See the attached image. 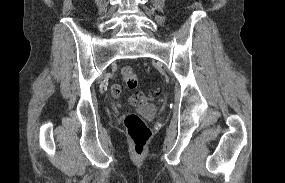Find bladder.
<instances>
[{"label":"bladder","instance_id":"1","mask_svg":"<svg viewBox=\"0 0 285 183\" xmlns=\"http://www.w3.org/2000/svg\"><path fill=\"white\" fill-rule=\"evenodd\" d=\"M138 112L143 116L151 118L157 114L158 110L153 105H143L138 109Z\"/></svg>","mask_w":285,"mask_h":183}]
</instances>
